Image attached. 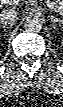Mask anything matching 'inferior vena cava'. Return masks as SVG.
Segmentation results:
<instances>
[{"label":"inferior vena cava","instance_id":"602c4592","mask_svg":"<svg viewBox=\"0 0 63 107\" xmlns=\"http://www.w3.org/2000/svg\"><path fill=\"white\" fill-rule=\"evenodd\" d=\"M18 18V12L13 9H3L0 13V23L5 25H12Z\"/></svg>","mask_w":63,"mask_h":107}]
</instances>
